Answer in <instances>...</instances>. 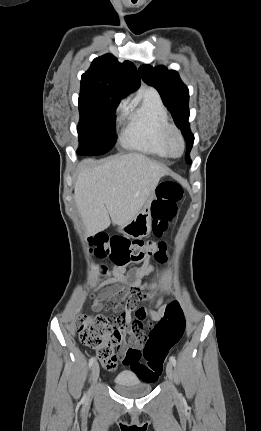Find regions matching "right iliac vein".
Here are the masks:
<instances>
[{
  "label": "right iliac vein",
  "mask_w": 261,
  "mask_h": 431,
  "mask_svg": "<svg viewBox=\"0 0 261 431\" xmlns=\"http://www.w3.org/2000/svg\"><path fill=\"white\" fill-rule=\"evenodd\" d=\"M99 377V364L98 362H95L92 366V371H91V391H93L95 384L98 380Z\"/></svg>",
  "instance_id": "obj_1"
}]
</instances>
